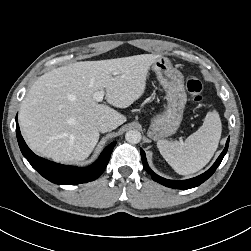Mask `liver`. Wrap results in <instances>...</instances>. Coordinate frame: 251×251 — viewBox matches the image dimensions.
Masks as SVG:
<instances>
[{
  "instance_id": "obj_1",
  "label": "liver",
  "mask_w": 251,
  "mask_h": 251,
  "mask_svg": "<svg viewBox=\"0 0 251 251\" xmlns=\"http://www.w3.org/2000/svg\"><path fill=\"white\" fill-rule=\"evenodd\" d=\"M160 57L141 54L83 61L40 76L19 111L29 147L56 162L85 160L99 140V119L111 121L115 128L126 121L113 108L99 104L94 93L103 90L110 105L129 107L143 95L150 66Z\"/></svg>"
}]
</instances>
